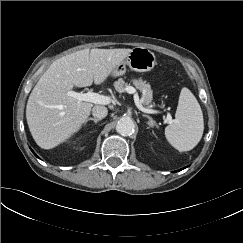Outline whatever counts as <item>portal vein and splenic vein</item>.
<instances>
[{
    "label": "portal vein and splenic vein",
    "instance_id": "18ae733b",
    "mask_svg": "<svg viewBox=\"0 0 243 243\" xmlns=\"http://www.w3.org/2000/svg\"><path fill=\"white\" fill-rule=\"evenodd\" d=\"M125 91L129 94L134 95V101L139 110H141L142 112H145V113H152V114L158 113V111H156V110L148 109V108H145L142 106V103L139 100L138 93L134 87L127 86L125 88ZM67 95L76 99L78 101V106H80V103L82 101L91 102V103H95V104H103V105H107L113 101L110 96L99 95V94L93 93L91 91H88L87 93H82V92L78 93L75 91H68ZM167 120L169 121V123L173 122L171 115L169 113L167 114Z\"/></svg>",
    "mask_w": 243,
    "mask_h": 243
}]
</instances>
